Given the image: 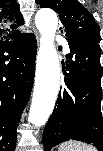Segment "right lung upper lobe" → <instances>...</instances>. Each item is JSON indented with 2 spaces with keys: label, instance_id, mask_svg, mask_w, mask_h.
I'll list each match as a JSON object with an SVG mask.
<instances>
[{
  "label": "right lung upper lobe",
  "instance_id": "obj_1",
  "mask_svg": "<svg viewBox=\"0 0 103 151\" xmlns=\"http://www.w3.org/2000/svg\"><path fill=\"white\" fill-rule=\"evenodd\" d=\"M21 24H23V18L19 5L13 0H0V43L23 34L16 29Z\"/></svg>",
  "mask_w": 103,
  "mask_h": 151
}]
</instances>
